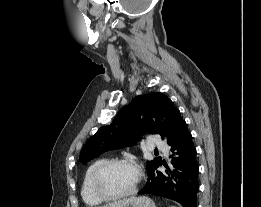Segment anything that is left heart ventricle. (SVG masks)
I'll list each match as a JSON object with an SVG mask.
<instances>
[{
  "instance_id": "left-heart-ventricle-1",
  "label": "left heart ventricle",
  "mask_w": 261,
  "mask_h": 207,
  "mask_svg": "<svg viewBox=\"0 0 261 207\" xmlns=\"http://www.w3.org/2000/svg\"><path fill=\"white\" fill-rule=\"evenodd\" d=\"M136 171L129 165H113L102 175L101 187L108 194H120L132 188L136 181Z\"/></svg>"
}]
</instances>
